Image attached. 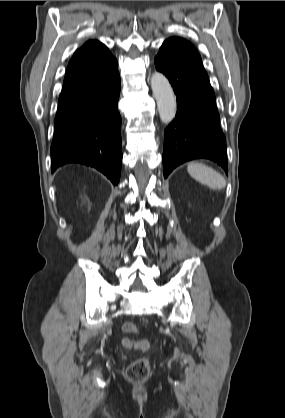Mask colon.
<instances>
[{"instance_id": "1", "label": "colon", "mask_w": 285, "mask_h": 418, "mask_svg": "<svg viewBox=\"0 0 285 418\" xmlns=\"http://www.w3.org/2000/svg\"><path fill=\"white\" fill-rule=\"evenodd\" d=\"M122 329L126 333H138V328L131 323H124ZM129 339H124L123 344L128 345ZM148 342L146 340L140 341V349L146 350ZM150 375V362L147 358H139L135 360L127 369L126 376L132 383H140L148 378Z\"/></svg>"}]
</instances>
